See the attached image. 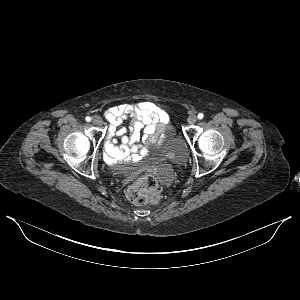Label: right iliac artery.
Returning <instances> with one entry per match:
<instances>
[{"instance_id":"82829eb1","label":"right iliac artery","mask_w":300,"mask_h":300,"mask_svg":"<svg viewBox=\"0 0 300 300\" xmlns=\"http://www.w3.org/2000/svg\"><path fill=\"white\" fill-rule=\"evenodd\" d=\"M85 120H86L87 122H90V121H91V117L87 116V117L85 118Z\"/></svg>"}]
</instances>
